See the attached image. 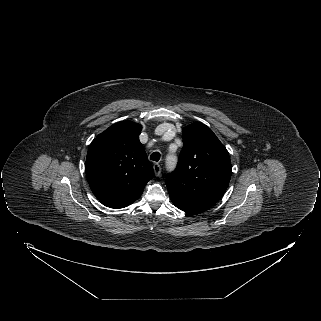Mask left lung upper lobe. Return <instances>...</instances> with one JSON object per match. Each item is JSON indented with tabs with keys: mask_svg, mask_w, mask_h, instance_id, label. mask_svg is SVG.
Instances as JSON below:
<instances>
[{
	"mask_svg": "<svg viewBox=\"0 0 321 321\" xmlns=\"http://www.w3.org/2000/svg\"><path fill=\"white\" fill-rule=\"evenodd\" d=\"M182 137L184 146L177 168L166 178L169 196L210 208L229 185V153L213 131L200 122L185 127Z\"/></svg>",
	"mask_w": 321,
	"mask_h": 321,
	"instance_id": "left-lung-upper-lobe-1",
	"label": "left lung upper lobe"
}]
</instances>
